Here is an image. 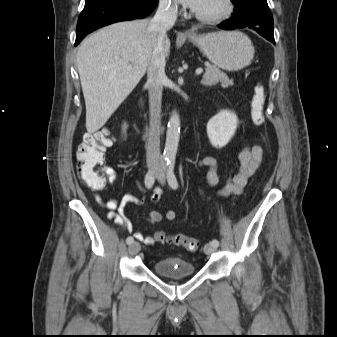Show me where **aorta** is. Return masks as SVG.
<instances>
[{
	"label": "aorta",
	"instance_id": "aorta-1",
	"mask_svg": "<svg viewBox=\"0 0 337 337\" xmlns=\"http://www.w3.org/2000/svg\"><path fill=\"white\" fill-rule=\"evenodd\" d=\"M180 138V118L177 112H173L170 116L167 132L164 155L168 158L176 156Z\"/></svg>",
	"mask_w": 337,
	"mask_h": 337
}]
</instances>
